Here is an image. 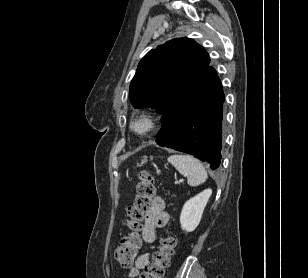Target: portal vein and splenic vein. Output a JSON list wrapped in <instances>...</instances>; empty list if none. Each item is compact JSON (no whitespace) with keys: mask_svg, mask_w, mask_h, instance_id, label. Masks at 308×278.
<instances>
[{"mask_svg":"<svg viewBox=\"0 0 308 278\" xmlns=\"http://www.w3.org/2000/svg\"><path fill=\"white\" fill-rule=\"evenodd\" d=\"M179 182H183V179H180ZM176 183H178V182H176Z\"/></svg>","mask_w":308,"mask_h":278,"instance_id":"obj_1","label":"portal vein and splenic vein"}]
</instances>
